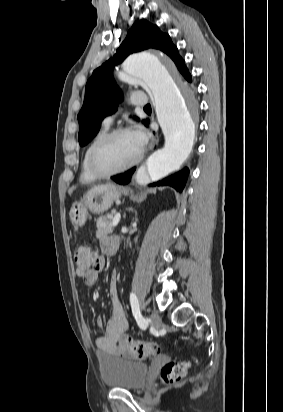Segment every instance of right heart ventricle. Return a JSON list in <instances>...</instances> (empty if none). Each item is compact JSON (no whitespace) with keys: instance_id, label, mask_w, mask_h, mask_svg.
Returning <instances> with one entry per match:
<instances>
[{"instance_id":"right-heart-ventricle-1","label":"right heart ventricle","mask_w":283,"mask_h":412,"mask_svg":"<svg viewBox=\"0 0 283 412\" xmlns=\"http://www.w3.org/2000/svg\"><path fill=\"white\" fill-rule=\"evenodd\" d=\"M108 132V126H103L89 141L88 145L86 146L82 160H81V169H80V178L82 181L89 182L95 180V176L89 168V154L94 146V144L105 134Z\"/></svg>"}]
</instances>
